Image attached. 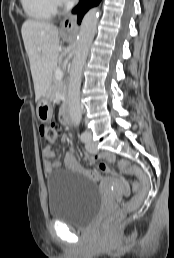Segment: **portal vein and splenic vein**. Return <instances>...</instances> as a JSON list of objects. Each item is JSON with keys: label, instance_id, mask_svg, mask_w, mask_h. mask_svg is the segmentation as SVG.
Returning a JSON list of instances; mask_svg holds the SVG:
<instances>
[{"label": "portal vein and splenic vein", "instance_id": "portal-vein-and-splenic-vein-1", "mask_svg": "<svg viewBox=\"0 0 174 258\" xmlns=\"http://www.w3.org/2000/svg\"><path fill=\"white\" fill-rule=\"evenodd\" d=\"M55 77L61 79L63 77V72L60 69L56 70Z\"/></svg>", "mask_w": 174, "mask_h": 258}]
</instances>
